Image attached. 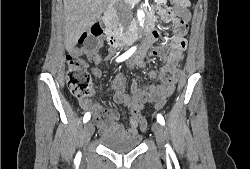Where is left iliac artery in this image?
<instances>
[{
    "label": "left iliac artery",
    "instance_id": "44dca946",
    "mask_svg": "<svg viewBox=\"0 0 250 169\" xmlns=\"http://www.w3.org/2000/svg\"><path fill=\"white\" fill-rule=\"evenodd\" d=\"M157 121L161 124V125H165V121H164V118H163V116L161 115V114H158L157 115ZM166 146H167V151H169V152H171L172 151V149H171V147H170V145H168V144H166Z\"/></svg>",
    "mask_w": 250,
    "mask_h": 169
}]
</instances>
